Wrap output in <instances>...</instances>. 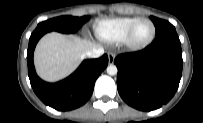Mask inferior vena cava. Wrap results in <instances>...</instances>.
<instances>
[{"label": "inferior vena cava", "instance_id": "obj_1", "mask_svg": "<svg viewBox=\"0 0 203 123\" xmlns=\"http://www.w3.org/2000/svg\"><path fill=\"white\" fill-rule=\"evenodd\" d=\"M104 49L100 46L94 47L85 53V56L88 58H98L103 55Z\"/></svg>", "mask_w": 203, "mask_h": 123}]
</instances>
